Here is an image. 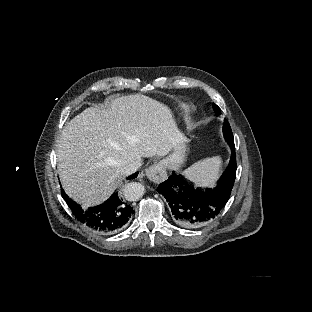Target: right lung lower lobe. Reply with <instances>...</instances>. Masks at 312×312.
<instances>
[{"label":"right lung lower lobe","instance_id":"obj_1","mask_svg":"<svg viewBox=\"0 0 312 312\" xmlns=\"http://www.w3.org/2000/svg\"><path fill=\"white\" fill-rule=\"evenodd\" d=\"M137 175L138 173H135L129 176L128 179H134ZM61 193L77 220L101 234H112L120 231L126 226L134 213L128 201L119 196L118 192H114L110 199L103 204L88 210H83L80 205L68 198L63 190Z\"/></svg>","mask_w":312,"mask_h":312}]
</instances>
